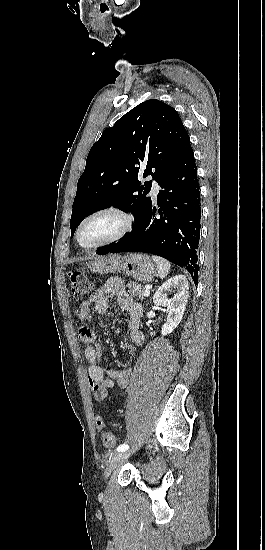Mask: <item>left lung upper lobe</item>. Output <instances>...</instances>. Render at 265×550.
Listing matches in <instances>:
<instances>
[{"label":"left lung upper lobe","mask_w":265,"mask_h":550,"mask_svg":"<svg viewBox=\"0 0 265 550\" xmlns=\"http://www.w3.org/2000/svg\"><path fill=\"white\" fill-rule=\"evenodd\" d=\"M190 144L188 133L174 108L150 99L107 128L92 146L86 167L78 180L71 216V237L88 215L114 206L130 211L135 226L151 206L152 181H138L152 175L159 183L166 170Z\"/></svg>","instance_id":"5c2ea615"}]
</instances>
